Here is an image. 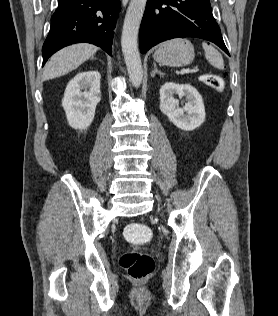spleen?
<instances>
[{"label": "spleen", "mask_w": 278, "mask_h": 316, "mask_svg": "<svg viewBox=\"0 0 278 316\" xmlns=\"http://www.w3.org/2000/svg\"><path fill=\"white\" fill-rule=\"evenodd\" d=\"M202 47L205 51V57L211 65L218 69H224V61L222 55L211 45L203 42Z\"/></svg>", "instance_id": "3e777b00"}]
</instances>
